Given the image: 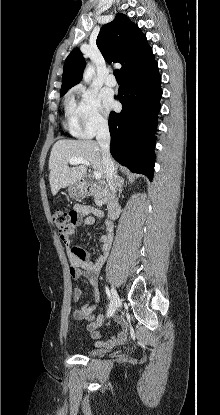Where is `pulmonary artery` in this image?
Instances as JSON below:
<instances>
[{
  "label": "pulmonary artery",
  "mask_w": 220,
  "mask_h": 415,
  "mask_svg": "<svg viewBox=\"0 0 220 415\" xmlns=\"http://www.w3.org/2000/svg\"><path fill=\"white\" fill-rule=\"evenodd\" d=\"M105 84L109 87H115L117 85L116 78L113 74H109L105 79Z\"/></svg>",
  "instance_id": "pulmonary-artery-1"
}]
</instances>
